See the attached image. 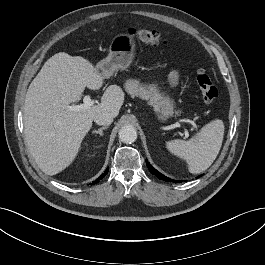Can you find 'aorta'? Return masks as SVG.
Returning <instances> with one entry per match:
<instances>
[{
    "label": "aorta",
    "mask_w": 265,
    "mask_h": 265,
    "mask_svg": "<svg viewBox=\"0 0 265 265\" xmlns=\"http://www.w3.org/2000/svg\"><path fill=\"white\" fill-rule=\"evenodd\" d=\"M119 138L126 144L133 143L137 139V131L132 125H125L119 130Z\"/></svg>",
    "instance_id": "762f6f07"
}]
</instances>
